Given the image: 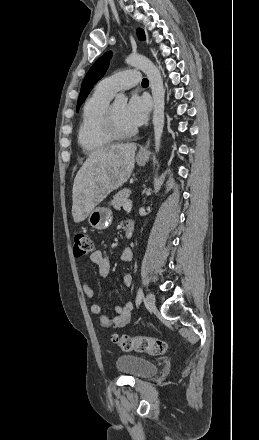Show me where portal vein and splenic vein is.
Wrapping results in <instances>:
<instances>
[{
	"label": "portal vein and splenic vein",
	"mask_w": 259,
	"mask_h": 440,
	"mask_svg": "<svg viewBox=\"0 0 259 440\" xmlns=\"http://www.w3.org/2000/svg\"><path fill=\"white\" fill-rule=\"evenodd\" d=\"M131 208H132V202L131 201L126 202L124 204V206H123V209L126 210V211L131 210Z\"/></svg>",
	"instance_id": "18ae733b"
}]
</instances>
